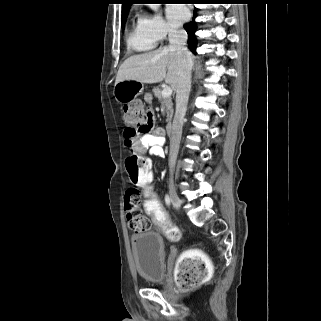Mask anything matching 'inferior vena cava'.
<instances>
[{"instance_id": "1", "label": "inferior vena cava", "mask_w": 321, "mask_h": 321, "mask_svg": "<svg viewBox=\"0 0 321 321\" xmlns=\"http://www.w3.org/2000/svg\"><path fill=\"white\" fill-rule=\"evenodd\" d=\"M168 38L170 43L169 47L177 52L180 67V76L176 86V111L170 137L169 168L172 174L179 151L184 116L186 114L191 88L192 58L191 53L186 47V31L170 29L168 31Z\"/></svg>"}]
</instances>
